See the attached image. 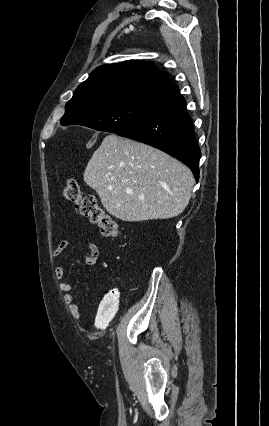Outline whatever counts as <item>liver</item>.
<instances>
[{
    "label": "liver",
    "instance_id": "liver-1",
    "mask_svg": "<svg viewBox=\"0 0 269 426\" xmlns=\"http://www.w3.org/2000/svg\"><path fill=\"white\" fill-rule=\"evenodd\" d=\"M83 178L108 213L128 222L180 215L194 185L190 169L177 159L115 134L103 139Z\"/></svg>",
    "mask_w": 269,
    "mask_h": 426
}]
</instances>
